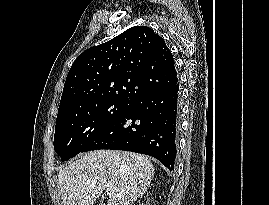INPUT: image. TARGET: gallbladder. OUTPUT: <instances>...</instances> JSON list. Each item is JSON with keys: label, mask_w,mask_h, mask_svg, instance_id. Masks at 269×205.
Segmentation results:
<instances>
[{"label": "gallbladder", "mask_w": 269, "mask_h": 205, "mask_svg": "<svg viewBox=\"0 0 269 205\" xmlns=\"http://www.w3.org/2000/svg\"><path fill=\"white\" fill-rule=\"evenodd\" d=\"M98 205H104L103 203H99Z\"/></svg>", "instance_id": "bac80fb5"}]
</instances>
